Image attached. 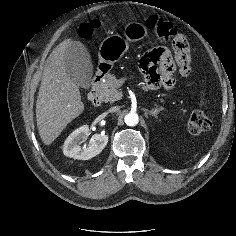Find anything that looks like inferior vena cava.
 <instances>
[{"label":"inferior vena cava","instance_id":"inferior-vena-cava-1","mask_svg":"<svg viewBox=\"0 0 236 236\" xmlns=\"http://www.w3.org/2000/svg\"><path fill=\"white\" fill-rule=\"evenodd\" d=\"M119 109H120V107L119 106H114V107H112V108H110V112H117V111H119Z\"/></svg>","mask_w":236,"mask_h":236}]
</instances>
